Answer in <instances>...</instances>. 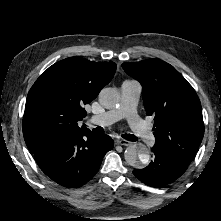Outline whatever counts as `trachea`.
<instances>
[{
	"mask_svg": "<svg viewBox=\"0 0 221 221\" xmlns=\"http://www.w3.org/2000/svg\"><path fill=\"white\" fill-rule=\"evenodd\" d=\"M122 137L128 141H137V137L133 134H123Z\"/></svg>",
	"mask_w": 221,
	"mask_h": 221,
	"instance_id": "trachea-1",
	"label": "trachea"
}]
</instances>
